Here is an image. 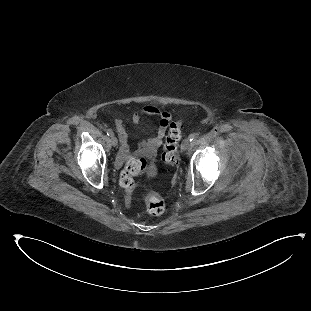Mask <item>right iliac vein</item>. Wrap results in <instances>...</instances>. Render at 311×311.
<instances>
[{"instance_id":"63e3f726","label":"right iliac vein","mask_w":311,"mask_h":311,"mask_svg":"<svg viewBox=\"0 0 311 311\" xmlns=\"http://www.w3.org/2000/svg\"><path fill=\"white\" fill-rule=\"evenodd\" d=\"M110 142H111V145L114 147L117 146V144H118V140L115 136H111Z\"/></svg>"}]
</instances>
